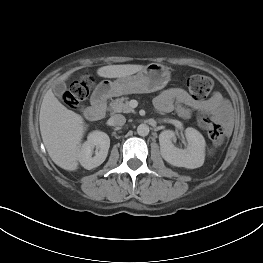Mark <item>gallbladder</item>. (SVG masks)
Returning <instances> with one entry per match:
<instances>
[{
	"label": "gallbladder",
	"mask_w": 263,
	"mask_h": 263,
	"mask_svg": "<svg viewBox=\"0 0 263 263\" xmlns=\"http://www.w3.org/2000/svg\"><path fill=\"white\" fill-rule=\"evenodd\" d=\"M52 91L57 97L62 98L66 91V84L63 81H57L52 85Z\"/></svg>",
	"instance_id": "1"
}]
</instances>
